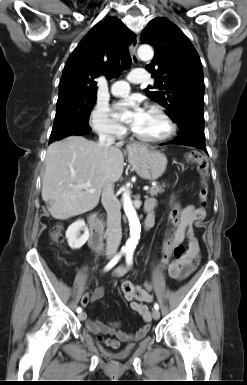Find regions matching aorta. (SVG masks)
Listing matches in <instances>:
<instances>
[{
    "label": "aorta",
    "instance_id": "obj_1",
    "mask_svg": "<svg viewBox=\"0 0 247 385\" xmlns=\"http://www.w3.org/2000/svg\"><path fill=\"white\" fill-rule=\"evenodd\" d=\"M137 53L139 58L142 60H150L154 56V51L152 47L149 45H141L138 48ZM123 191H124L122 195L123 208L128 218L129 227H130V237L124 246V250L133 252L140 239L141 225H140V221L137 216L136 210L133 207V203H132L129 191L126 188H124Z\"/></svg>",
    "mask_w": 247,
    "mask_h": 385
}]
</instances>
